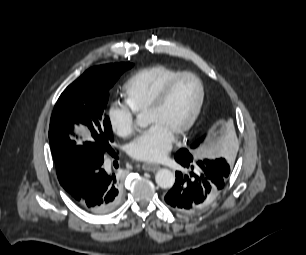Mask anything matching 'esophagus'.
<instances>
[{"instance_id":"34e87169","label":"esophagus","mask_w":306,"mask_h":255,"mask_svg":"<svg viewBox=\"0 0 306 255\" xmlns=\"http://www.w3.org/2000/svg\"><path fill=\"white\" fill-rule=\"evenodd\" d=\"M159 168H160V166L157 165V164L144 163V164L142 165V169H143L144 171L155 172V171H157Z\"/></svg>"}]
</instances>
